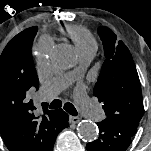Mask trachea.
<instances>
[{
    "label": "trachea",
    "mask_w": 151,
    "mask_h": 151,
    "mask_svg": "<svg viewBox=\"0 0 151 151\" xmlns=\"http://www.w3.org/2000/svg\"><path fill=\"white\" fill-rule=\"evenodd\" d=\"M62 106L61 100L59 99H55L51 102V104L49 105L50 109H57L60 108ZM64 109L72 116H77V110L74 107V105L72 103H65L64 104Z\"/></svg>",
    "instance_id": "obj_1"
}]
</instances>
